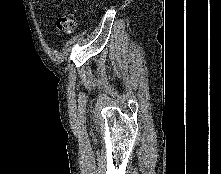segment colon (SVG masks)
Here are the masks:
<instances>
[{
    "label": "colon",
    "mask_w": 221,
    "mask_h": 174,
    "mask_svg": "<svg viewBox=\"0 0 221 174\" xmlns=\"http://www.w3.org/2000/svg\"><path fill=\"white\" fill-rule=\"evenodd\" d=\"M77 22L74 9L66 5L64 14L56 22L57 30L60 34H71L74 32Z\"/></svg>",
    "instance_id": "1"
}]
</instances>
